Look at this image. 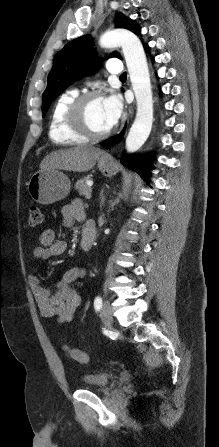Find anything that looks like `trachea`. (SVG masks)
Returning a JSON list of instances; mask_svg holds the SVG:
<instances>
[{
    "mask_svg": "<svg viewBox=\"0 0 219 447\" xmlns=\"http://www.w3.org/2000/svg\"><path fill=\"white\" fill-rule=\"evenodd\" d=\"M126 76H127V74H126V72H124L120 75V78H126Z\"/></svg>",
    "mask_w": 219,
    "mask_h": 447,
    "instance_id": "trachea-1",
    "label": "trachea"
}]
</instances>
